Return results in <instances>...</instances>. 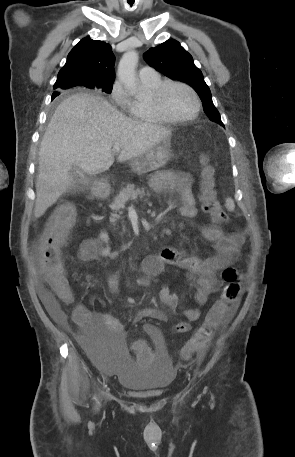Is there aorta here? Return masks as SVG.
Instances as JSON below:
<instances>
[{"instance_id": "762f6f07", "label": "aorta", "mask_w": 295, "mask_h": 457, "mask_svg": "<svg viewBox=\"0 0 295 457\" xmlns=\"http://www.w3.org/2000/svg\"><path fill=\"white\" fill-rule=\"evenodd\" d=\"M137 63L138 53L135 50H129L123 54L118 64V78L132 93H137V83L135 77V68Z\"/></svg>"}]
</instances>
